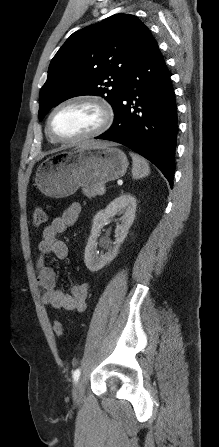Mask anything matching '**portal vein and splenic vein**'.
<instances>
[{"label":"portal vein and splenic vein","mask_w":219,"mask_h":447,"mask_svg":"<svg viewBox=\"0 0 219 447\" xmlns=\"http://www.w3.org/2000/svg\"><path fill=\"white\" fill-rule=\"evenodd\" d=\"M101 191H102V193H104V192H105V189H104V188H102V189H101Z\"/></svg>","instance_id":"portal-vein-and-splenic-vein-1"}]
</instances>
